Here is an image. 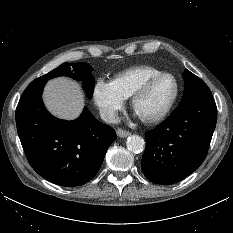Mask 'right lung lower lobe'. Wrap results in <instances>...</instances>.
I'll return each instance as SVG.
<instances>
[{
	"label": "right lung lower lobe",
	"instance_id": "obj_1",
	"mask_svg": "<svg viewBox=\"0 0 233 233\" xmlns=\"http://www.w3.org/2000/svg\"><path fill=\"white\" fill-rule=\"evenodd\" d=\"M47 80L35 79L16 108L17 132L32 168L50 182L80 186L99 171L116 133L85 109L76 120L52 116L42 101Z\"/></svg>",
	"mask_w": 233,
	"mask_h": 233
}]
</instances>
